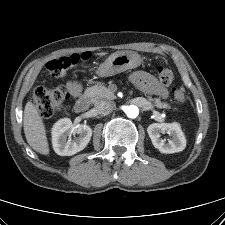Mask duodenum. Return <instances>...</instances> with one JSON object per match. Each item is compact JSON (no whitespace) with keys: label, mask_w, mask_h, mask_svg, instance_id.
Here are the masks:
<instances>
[{"label":"duodenum","mask_w":225,"mask_h":225,"mask_svg":"<svg viewBox=\"0 0 225 225\" xmlns=\"http://www.w3.org/2000/svg\"><path fill=\"white\" fill-rule=\"evenodd\" d=\"M91 104V98L89 96L80 97L75 103V110L78 113L86 112Z\"/></svg>","instance_id":"duodenum-1"}]
</instances>
